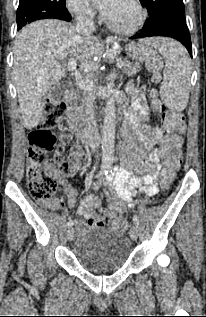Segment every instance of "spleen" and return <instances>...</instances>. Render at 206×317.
Wrapping results in <instances>:
<instances>
[{
    "label": "spleen",
    "instance_id": "obj_1",
    "mask_svg": "<svg viewBox=\"0 0 206 317\" xmlns=\"http://www.w3.org/2000/svg\"><path fill=\"white\" fill-rule=\"evenodd\" d=\"M140 42L158 49L165 60L164 80L160 87L161 100L170 109L184 110L189 100L191 76L186 49L179 42L163 37L143 39Z\"/></svg>",
    "mask_w": 206,
    "mask_h": 317
}]
</instances>
